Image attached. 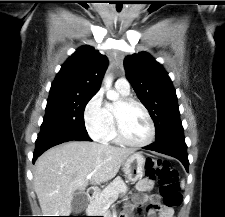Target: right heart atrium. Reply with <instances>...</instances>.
I'll return each mask as SVG.
<instances>
[{
  "instance_id": "obj_1",
  "label": "right heart atrium",
  "mask_w": 225,
  "mask_h": 217,
  "mask_svg": "<svg viewBox=\"0 0 225 217\" xmlns=\"http://www.w3.org/2000/svg\"><path fill=\"white\" fill-rule=\"evenodd\" d=\"M84 123L89 135L102 140L109 130V122L103 104L102 91H98L85 105Z\"/></svg>"
}]
</instances>
